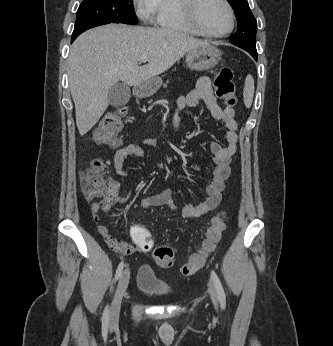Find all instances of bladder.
<instances>
[{
  "label": "bladder",
  "instance_id": "1",
  "mask_svg": "<svg viewBox=\"0 0 333 346\" xmlns=\"http://www.w3.org/2000/svg\"><path fill=\"white\" fill-rule=\"evenodd\" d=\"M137 287L152 296H162L170 291L169 287L156 275L154 270L147 265H143L139 269Z\"/></svg>",
  "mask_w": 333,
  "mask_h": 346
}]
</instances>
